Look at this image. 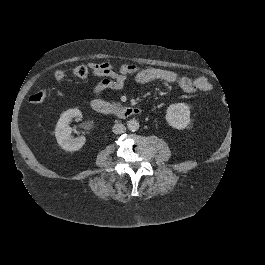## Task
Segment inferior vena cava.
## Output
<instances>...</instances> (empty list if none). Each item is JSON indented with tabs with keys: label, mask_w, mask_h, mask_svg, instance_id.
<instances>
[{
	"label": "inferior vena cava",
	"mask_w": 265,
	"mask_h": 265,
	"mask_svg": "<svg viewBox=\"0 0 265 265\" xmlns=\"http://www.w3.org/2000/svg\"><path fill=\"white\" fill-rule=\"evenodd\" d=\"M112 131L114 134H122L126 131V128L123 124L116 123L114 124Z\"/></svg>",
	"instance_id": "602c4592"
}]
</instances>
